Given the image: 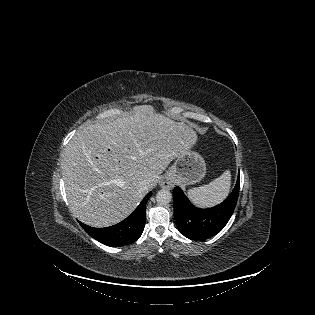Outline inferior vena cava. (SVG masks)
<instances>
[{
    "label": "inferior vena cava",
    "instance_id": "1",
    "mask_svg": "<svg viewBox=\"0 0 315 315\" xmlns=\"http://www.w3.org/2000/svg\"><path fill=\"white\" fill-rule=\"evenodd\" d=\"M138 190L140 191V192H144V193H146V192H148V190H149V188H148V183L146 182V181H142L140 184H139V187H138Z\"/></svg>",
    "mask_w": 315,
    "mask_h": 315
}]
</instances>
